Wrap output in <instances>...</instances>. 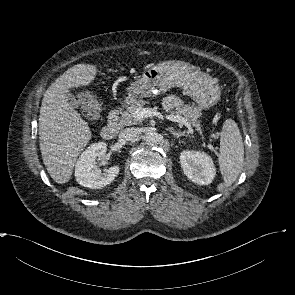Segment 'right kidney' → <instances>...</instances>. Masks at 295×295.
<instances>
[{"instance_id":"right-kidney-1","label":"right kidney","mask_w":295,"mask_h":295,"mask_svg":"<svg viewBox=\"0 0 295 295\" xmlns=\"http://www.w3.org/2000/svg\"><path fill=\"white\" fill-rule=\"evenodd\" d=\"M107 151L104 142L94 143L89 146L79 157L75 165V177L77 182L84 187L99 189L109 185L119 174V166L115 165L108 169H96V159L101 158Z\"/></svg>"}]
</instances>
